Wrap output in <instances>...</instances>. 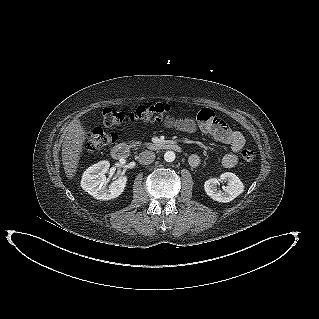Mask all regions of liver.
<instances>
[{"mask_svg": "<svg viewBox=\"0 0 319 319\" xmlns=\"http://www.w3.org/2000/svg\"><path fill=\"white\" fill-rule=\"evenodd\" d=\"M86 130L79 120H73L65 128L62 134V163L66 176L72 179L76 173V168L83 150L86 139Z\"/></svg>", "mask_w": 319, "mask_h": 319, "instance_id": "obj_1", "label": "liver"}]
</instances>
